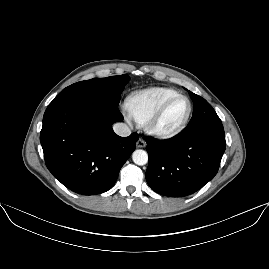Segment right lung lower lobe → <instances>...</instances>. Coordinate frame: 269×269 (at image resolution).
<instances>
[{
  "instance_id": "1",
  "label": "right lung lower lobe",
  "mask_w": 269,
  "mask_h": 269,
  "mask_svg": "<svg viewBox=\"0 0 269 269\" xmlns=\"http://www.w3.org/2000/svg\"><path fill=\"white\" fill-rule=\"evenodd\" d=\"M118 105L74 93H59L47 107L40 142L47 168L64 186L82 195L109 190L135 150L138 135H116Z\"/></svg>"
}]
</instances>
